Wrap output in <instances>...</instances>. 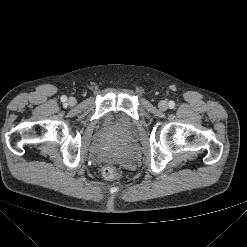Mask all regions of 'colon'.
<instances>
[{"mask_svg": "<svg viewBox=\"0 0 247 247\" xmlns=\"http://www.w3.org/2000/svg\"><path fill=\"white\" fill-rule=\"evenodd\" d=\"M102 175L105 179L115 180L120 177V174L115 166L107 165L102 169Z\"/></svg>", "mask_w": 247, "mask_h": 247, "instance_id": "obj_1", "label": "colon"}]
</instances>
